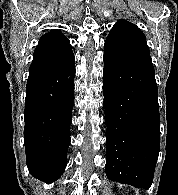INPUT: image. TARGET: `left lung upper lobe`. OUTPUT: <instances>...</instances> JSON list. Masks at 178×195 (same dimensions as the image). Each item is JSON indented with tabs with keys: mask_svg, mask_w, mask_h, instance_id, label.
<instances>
[{
	"mask_svg": "<svg viewBox=\"0 0 178 195\" xmlns=\"http://www.w3.org/2000/svg\"><path fill=\"white\" fill-rule=\"evenodd\" d=\"M154 72L144 33L134 24L119 20L105 41V53Z\"/></svg>",
	"mask_w": 178,
	"mask_h": 195,
	"instance_id": "1",
	"label": "left lung upper lobe"
}]
</instances>
